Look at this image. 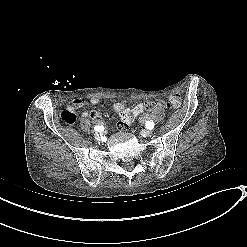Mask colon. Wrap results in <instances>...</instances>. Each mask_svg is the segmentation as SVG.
Returning a JSON list of instances; mask_svg holds the SVG:
<instances>
[{"label": "colon", "instance_id": "obj_1", "mask_svg": "<svg viewBox=\"0 0 247 247\" xmlns=\"http://www.w3.org/2000/svg\"><path fill=\"white\" fill-rule=\"evenodd\" d=\"M166 107V103L163 101H149L146 104V109L148 111H160ZM60 120L68 125H73L77 121V116L71 110H63L60 113Z\"/></svg>", "mask_w": 247, "mask_h": 247}]
</instances>
